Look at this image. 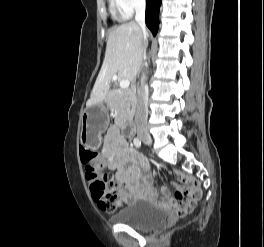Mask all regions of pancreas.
Listing matches in <instances>:
<instances>
[{"mask_svg":"<svg viewBox=\"0 0 264 247\" xmlns=\"http://www.w3.org/2000/svg\"><path fill=\"white\" fill-rule=\"evenodd\" d=\"M109 105L115 114L116 123L123 124L132 116L134 106V92L132 90L114 91L109 97Z\"/></svg>","mask_w":264,"mask_h":247,"instance_id":"pancreas-1","label":"pancreas"}]
</instances>
